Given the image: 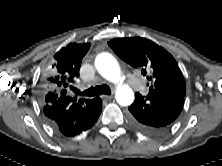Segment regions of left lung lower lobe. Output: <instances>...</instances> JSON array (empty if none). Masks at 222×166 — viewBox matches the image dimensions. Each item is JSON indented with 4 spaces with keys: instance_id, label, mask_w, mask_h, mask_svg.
<instances>
[{
    "instance_id": "0a47b994",
    "label": "left lung lower lobe",
    "mask_w": 222,
    "mask_h": 166,
    "mask_svg": "<svg viewBox=\"0 0 222 166\" xmlns=\"http://www.w3.org/2000/svg\"><path fill=\"white\" fill-rule=\"evenodd\" d=\"M184 95L160 92L142 96L135 93V101L128 108L131 124L148 134H160L179 116L184 105Z\"/></svg>"
}]
</instances>
